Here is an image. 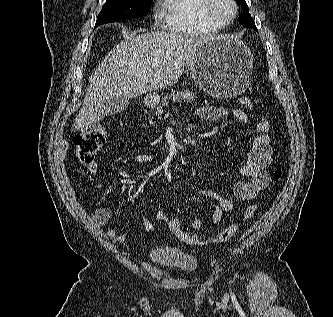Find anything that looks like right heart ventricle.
<instances>
[{"label":"right heart ventricle","instance_id":"right-heart-ventricle-1","mask_svg":"<svg viewBox=\"0 0 333 317\" xmlns=\"http://www.w3.org/2000/svg\"><path fill=\"white\" fill-rule=\"evenodd\" d=\"M202 0H161L159 16L163 28L184 36H206L223 27L207 20L202 13Z\"/></svg>","mask_w":333,"mask_h":317}]
</instances>
